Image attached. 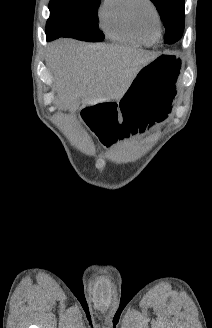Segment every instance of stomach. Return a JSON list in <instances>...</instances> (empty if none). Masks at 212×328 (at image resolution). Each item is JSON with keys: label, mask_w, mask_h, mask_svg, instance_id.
<instances>
[{"label": "stomach", "mask_w": 212, "mask_h": 328, "mask_svg": "<svg viewBox=\"0 0 212 328\" xmlns=\"http://www.w3.org/2000/svg\"><path fill=\"white\" fill-rule=\"evenodd\" d=\"M180 64L178 56L158 55L140 68L117 102H87L81 120L102 146L127 140L138 130L164 121L171 111Z\"/></svg>", "instance_id": "stomach-1"}]
</instances>
